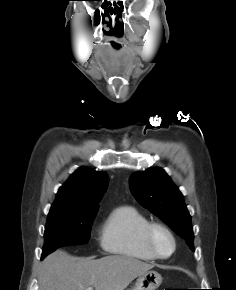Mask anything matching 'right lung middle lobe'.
<instances>
[{
  "label": "right lung middle lobe",
  "mask_w": 236,
  "mask_h": 290,
  "mask_svg": "<svg viewBox=\"0 0 236 290\" xmlns=\"http://www.w3.org/2000/svg\"><path fill=\"white\" fill-rule=\"evenodd\" d=\"M95 214H49L42 259L59 247L87 243Z\"/></svg>",
  "instance_id": "right-lung-middle-lobe-1"
}]
</instances>
